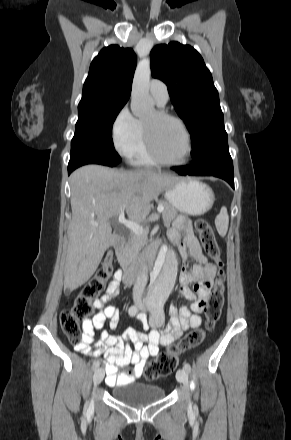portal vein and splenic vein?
Wrapping results in <instances>:
<instances>
[{"instance_id":"18ae733b","label":"portal vein and splenic vein","mask_w":291,"mask_h":440,"mask_svg":"<svg viewBox=\"0 0 291 440\" xmlns=\"http://www.w3.org/2000/svg\"><path fill=\"white\" fill-rule=\"evenodd\" d=\"M157 210H158V212H162L164 210V206H162V205L158 206ZM118 222L120 224H123L127 228H129L135 234H138V235H143L144 234V229H143L142 226H140L138 223H135L133 221H129V220L125 219L124 211L123 210L119 214Z\"/></svg>"}]
</instances>
